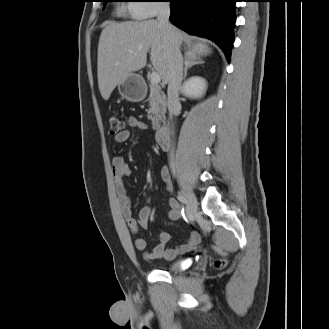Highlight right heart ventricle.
Instances as JSON below:
<instances>
[{"label": "right heart ventricle", "mask_w": 329, "mask_h": 329, "mask_svg": "<svg viewBox=\"0 0 329 329\" xmlns=\"http://www.w3.org/2000/svg\"><path fill=\"white\" fill-rule=\"evenodd\" d=\"M125 6H126L125 4H122V9L125 8Z\"/></svg>", "instance_id": "right-heart-ventricle-1"}]
</instances>
